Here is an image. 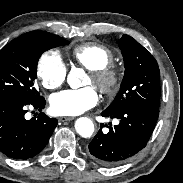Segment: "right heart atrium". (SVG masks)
I'll use <instances>...</instances> for the list:
<instances>
[{
    "label": "right heart atrium",
    "instance_id": "obj_1",
    "mask_svg": "<svg viewBox=\"0 0 183 183\" xmlns=\"http://www.w3.org/2000/svg\"><path fill=\"white\" fill-rule=\"evenodd\" d=\"M36 75L46 89L61 86L66 79L67 68L60 54L56 51L43 53L37 63Z\"/></svg>",
    "mask_w": 183,
    "mask_h": 183
}]
</instances>
